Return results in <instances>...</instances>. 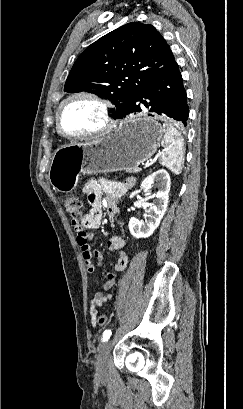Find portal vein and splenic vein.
Returning <instances> with one entry per match:
<instances>
[{
	"label": "portal vein and splenic vein",
	"mask_w": 243,
	"mask_h": 409,
	"mask_svg": "<svg viewBox=\"0 0 243 409\" xmlns=\"http://www.w3.org/2000/svg\"><path fill=\"white\" fill-rule=\"evenodd\" d=\"M149 166H150V162L147 161L146 164H145V167L147 168V167H149Z\"/></svg>",
	"instance_id": "1"
}]
</instances>
